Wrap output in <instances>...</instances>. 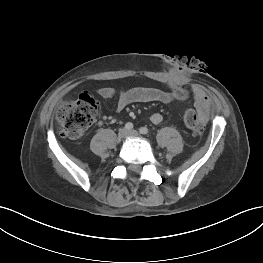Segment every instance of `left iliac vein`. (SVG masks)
I'll use <instances>...</instances> for the list:
<instances>
[{"label":"left iliac vein","instance_id":"obj_1","mask_svg":"<svg viewBox=\"0 0 263 263\" xmlns=\"http://www.w3.org/2000/svg\"><path fill=\"white\" fill-rule=\"evenodd\" d=\"M128 135L132 136V137H139L140 136L139 132H137L136 130L129 131Z\"/></svg>","mask_w":263,"mask_h":263}]
</instances>
